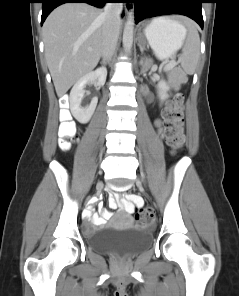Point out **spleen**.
I'll list each match as a JSON object with an SVG mask.
<instances>
[{"label": "spleen", "mask_w": 239, "mask_h": 296, "mask_svg": "<svg viewBox=\"0 0 239 296\" xmlns=\"http://www.w3.org/2000/svg\"><path fill=\"white\" fill-rule=\"evenodd\" d=\"M183 26V25H182ZM185 33L186 29L183 26ZM200 52V38L197 30L193 27H191L188 30L187 40L185 42L184 48H183V54L181 58V66L183 70L191 75L195 71V67L198 61Z\"/></svg>", "instance_id": "1"}]
</instances>
